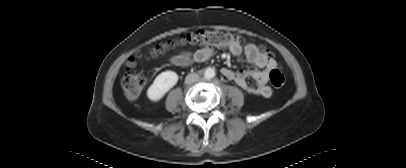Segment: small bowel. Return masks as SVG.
<instances>
[{"mask_svg":"<svg viewBox=\"0 0 406 168\" xmlns=\"http://www.w3.org/2000/svg\"><path fill=\"white\" fill-rule=\"evenodd\" d=\"M230 52L235 56H244L247 63L254 65L257 69L234 71L229 68L221 70L222 75L235 82L247 93L268 98L271 96L272 91L268 87L269 72L276 68V61L262 53L258 47L249 43L242 47H230ZM213 52L209 48H203L196 51L194 54L181 53L173 56L170 62L176 66H187L191 62L201 63L211 58ZM251 78L255 81V85H250L247 81Z\"/></svg>","mask_w":406,"mask_h":168,"instance_id":"small-bowel-1","label":"small bowel"}]
</instances>
